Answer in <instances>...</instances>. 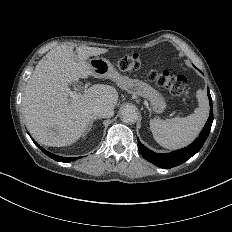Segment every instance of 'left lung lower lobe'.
<instances>
[{
	"instance_id": "0a47b994",
	"label": "left lung lower lobe",
	"mask_w": 232,
	"mask_h": 232,
	"mask_svg": "<svg viewBox=\"0 0 232 232\" xmlns=\"http://www.w3.org/2000/svg\"><path fill=\"white\" fill-rule=\"evenodd\" d=\"M208 97L210 101L209 118L204 128L202 129V132L200 133L199 137L192 144H190L186 148L173 151L171 153L162 154V153H155L149 150L147 147L142 145L138 140V149L141 155L149 162L164 169H169L181 165L182 163L190 159L193 155H195L204 145V142L206 141L210 133L212 122H213V112H212L213 106H212V99L209 90H208Z\"/></svg>"
}]
</instances>
